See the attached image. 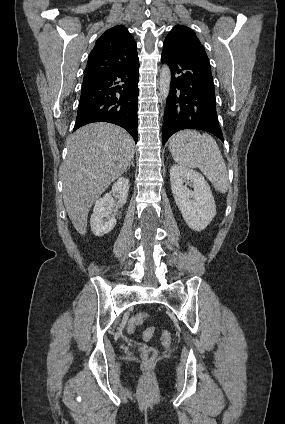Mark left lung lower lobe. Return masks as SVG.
Masks as SVG:
<instances>
[{"label":"left lung lower lobe","instance_id":"0a47b994","mask_svg":"<svg viewBox=\"0 0 285 424\" xmlns=\"http://www.w3.org/2000/svg\"><path fill=\"white\" fill-rule=\"evenodd\" d=\"M161 61L171 71L162 143L183 129L207 131L223 141L211 67L204 49L164 41Z\"/></svg>","mask_w":285,"mask_h":424}]
</instances>
